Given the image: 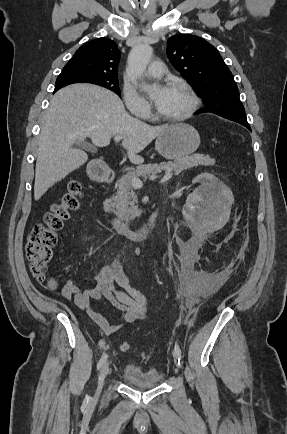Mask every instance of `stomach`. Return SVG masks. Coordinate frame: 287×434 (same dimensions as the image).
Returning <instances> with one entry per match:
<instances>
[{
    "mask_svg": "<svg viewBox=\"0 0 287 434\" xmlns=\"http://www.w3.org/2000/svg\"><path fill=\"white\" fill-rule=\"evenodd\" d=\"M200 145L198 131L189 124L168 126L157 138L155 148L166 159H178L195 152Z\"/></svg>",
    "mask_w": 287,
    "mask_h": 434,
    "instance_id": "1",
    "label": "stomach"
}]
</instances>
